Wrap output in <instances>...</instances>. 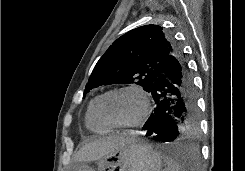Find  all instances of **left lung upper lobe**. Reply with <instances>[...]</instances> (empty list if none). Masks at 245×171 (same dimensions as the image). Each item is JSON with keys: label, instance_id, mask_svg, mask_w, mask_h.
Wrapping results in <instances>:
<instances>
[{"label": "left lung upper lobe", "instance_id": "obj_1", "mask_svg": "<svg viewBox=\"0 0 245 171\" xmlns=\"http://www.w3.org/2000/svg\"><path fill=\"white\" fill-rule=\"evenodd\" d=\"M178 45L159 25L135 28L115 40L95 65L84 91L101 85L135 83L149 92L165 60Z\"/></svg>", "mask_w": 245, "mask_h": 171}]
</instances>
